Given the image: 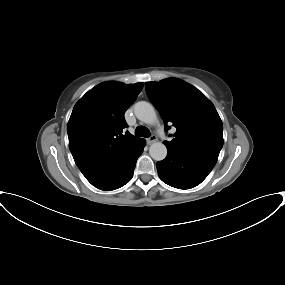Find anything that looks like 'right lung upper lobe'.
Returning <instances> with one entry per match:
<instances>
[{"mask_svg": "<svg viewBox=\"0 0 285 285\" xmlns=\"http://www.w3.org/2000/svg\"><path fill=\"white\" fill-rule=\"evenodd\" d=\"M143 83L104 82L88 91L74 106L67 133L74 161L84 176L95 172L141 138L129 132L125 111Z\"/></svg>", "mask_w": 285, "mask_h": 285, "instance_id": "right-lung-upper-lobe-1", "label": "right lung upper lobe"}]
</instances>
